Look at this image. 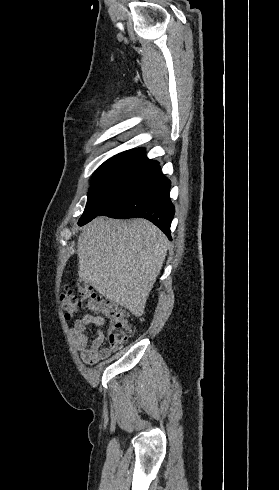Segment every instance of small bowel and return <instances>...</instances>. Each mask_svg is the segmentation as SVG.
Segmentation results:
<instances>
[{
  "label": "small bowel",
  "mask_w": 279,
  "mask_h": 490,
  "mask_svg": "<svg viewBox=\"0 0 279 490\" xmlns=\"http://www.w3.org/2000/svg\"><path fill=\"white\" fill-rule=\"evenodd\" d=\"M91 324L102 327L106 324V319L100 315L85 314L74 322L71 330L74 346L82 360L90 365L105 360L111 355V350L103 347L105 332L102 329L98 330L94 339H89L87 327Z\"/></svg>",
  "instance_id": "small-bowel-1"
}]
</instances>
